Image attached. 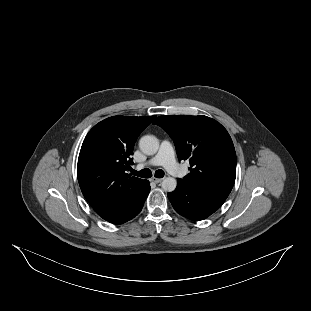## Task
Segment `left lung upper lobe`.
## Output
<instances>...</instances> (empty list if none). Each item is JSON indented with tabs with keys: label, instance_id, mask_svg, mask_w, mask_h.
<instances>
[{
	"label": "left lung upper lobe",
	"instance_id": "1",
	"mask_svg": "<svg viewBox=\"0 0 311 311\" xmlns=\"http://www.w3.org/2000/svg\"><path fill=\"white\" fill-rule=\"evenodd\" d=\"M154 124L173 139L179 160L189 159L190 173L177 179L229 195L236 177V153L226 129L207 116H160Z\"/></svg>",
	"mask_w": 311,
	"mask_h": 311
}]
</instances>
